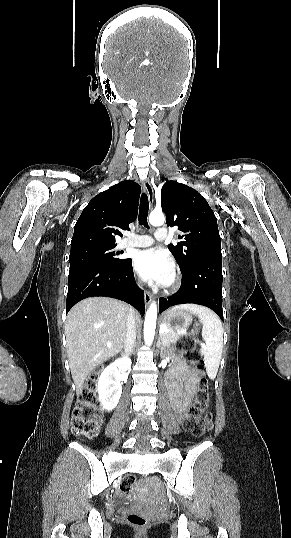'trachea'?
I'll return each instance as SVG.
<instances>
[{
    "label": "trachea",
    "instance_id": "3493384b",
    "mask_svg": "<svg viewBox=\"0 0 291 538\" xmlns=\"http://www.w3.org/2000/svg\"><path fill=\"white\" fill-rule=\"evenodd\" d=\"M148 210H149L148 196L145 193H143L140 199L138 220H139V225H144L147 228H148V222H147Z\"/></svg>",
    "mask_w": 291,
    "mask_h": 538
}]
</instances>
